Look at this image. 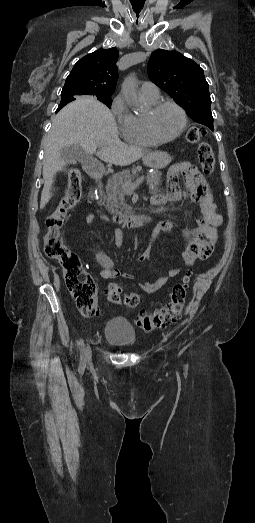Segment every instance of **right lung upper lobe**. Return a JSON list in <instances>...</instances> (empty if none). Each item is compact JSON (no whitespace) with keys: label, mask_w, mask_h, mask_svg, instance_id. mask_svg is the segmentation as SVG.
Returning a JSON list of instances; mask_svg holds the SVG:
<instances>
[{"label":"right lung upper lobe","mask_w":255,"mask_h":523,"mask_svg":"<svg viewBox=\"0 0 255 523\" xmlns=\"http://www.w3.org/2000/svg\"><path fill=\"white\" fill-rule=\"evenodd\" d=\"M119 56L117 48L99 49L80 59L66 79L62 93L84 98L111 97L114 93L118 69L116 62ZM75 100V98H74ZM73 101L61 99L56 112Z\"/></svg>","instance_id":"cb5924a9"}]
</instances>
